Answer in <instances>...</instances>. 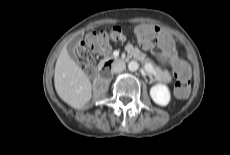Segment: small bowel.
<instances>
[{
    "mask_svg": "<svg viewBox=\"0 0 230 155\" xmlns=\"http://www.w3.org/2000/svg\"><path fill=\"white\" fill-rule=\"evenodd\" d=\"M134 34L139 38V42L144 47H150L152 43L162 50V57L165 60L171 61L173 68L180 63L174 60L177 57L178 50L175 44V37L168 29H161L157 22L138 23L134 27Z\"/></svg>",
    "mask_w": 230,
    "mask_h": 155,
    "instance_id": "1",
    "label": "small bowel"
}]
</instances>
